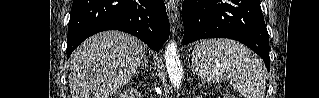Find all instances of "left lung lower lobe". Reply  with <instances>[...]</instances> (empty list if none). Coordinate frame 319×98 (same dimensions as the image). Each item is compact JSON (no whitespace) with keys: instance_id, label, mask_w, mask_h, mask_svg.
<instances>
[{"instance_id":"0a47b994","label":"left lung lower lobe","mask_w":319,"mask_h":98,"mask_svg":"<svg viewBox=\"0 0 319 98\" xmlns=\"http://www.w3.org/2000/svg\"><path fill=\"white\" fill-rule=\"evenodd\" d=\"M183 44L203 38L237 40L257 53L270 70L269 39L259 0H184Z\"/></svg>"}]
</instances>
